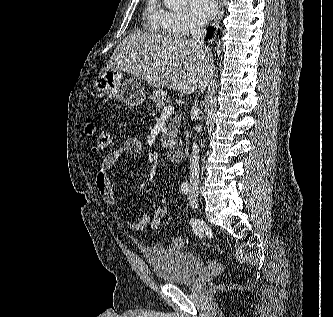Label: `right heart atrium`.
Wrapping results in <instances>:
<instances>
[{
  "instance_id": "right-heart-atrium-1",
  "label": "right heart atrium",
  "mask_w": 333,
  "mask_h": 317,
  "mask_svg": "<svg viewBox=\"0 0 333 317\" xmlns=\"http://www.w3.org/2000/svg\"><path fill=\"white\" fill-rule=\"evenodd\" d=\"M168 28L176 35H186L197 28V25L182 12H169Z\"/></svg>"
}]
</instances>
